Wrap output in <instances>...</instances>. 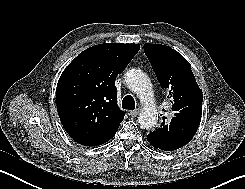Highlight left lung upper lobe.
<instances>
[{
    "mask_svg": "<svg viewBox=\"0 0 245 189\" xmlns=\"http://www.w3.org/2000/svg\"><path fill=\"white\" fill-rule=\"evenodd\" d=\"M148 57L162 88L169 91L171 118L147 135L161 150L172 151L186 145L195 135L202 115V90L190 63L177 51L161 44H145Z\"/></svg>",
    "mask_w": 245,
    "mask_h": 189,
    "instance_id": "5c2ea615",
    "label": "left lung upper lobe"
}]
</instances>
